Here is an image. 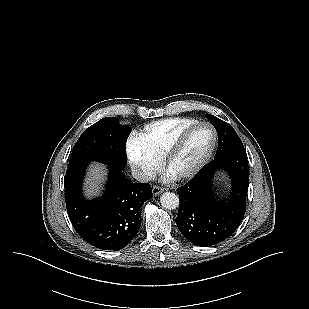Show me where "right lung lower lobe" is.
<instances>
[{"mask_svg": "<svg viewBox=\"0 0 309 309\" xmlns=\"http://www.w3.org/2000/svg\"><path fill=\"white\" fill-rule=\"evenodd\" d=\"M89 162L69 167L65 176L67 213L76 232L103 250L127 246L141 225L142 204L151 198V186L133 183L123 169L108 165L109 180L102 197L88 201L81 191Z\"/></svg>", "mask_w": 309, "mask_h": 309, "instance_id": "right-lung-lower-lobe-1", "label": "right lung lower lobe"}]
</instances>
